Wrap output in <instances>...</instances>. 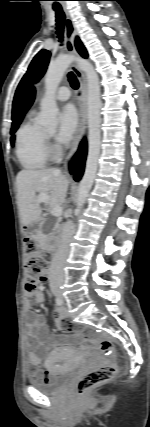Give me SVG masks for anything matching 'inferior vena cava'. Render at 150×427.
Masks as SVG:
<instances>
[{"mask_svg": "<svg viewBox=\"0 0 150 427\" xmlns=\"http://www.w3.org/2000/svg\"><path fill=\"white\" fill-rule=\"evenodd\" d=\"M75 227L71 220H68L64 226V234L60 245L52 259L49 283L51 287L62 285L64 282V266L69 254V243L74 234Z\"/></svg>", "mask_w": 150, "mask_h": 427, "instance_id": "1", "label": "inferior vena cava"}]
</instances>
